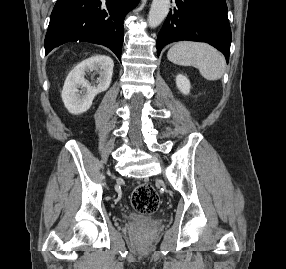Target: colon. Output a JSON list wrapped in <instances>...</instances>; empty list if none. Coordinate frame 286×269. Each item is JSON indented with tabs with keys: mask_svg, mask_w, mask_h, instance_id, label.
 <instances>
[{
	"mask_svg": "<svg viewBox=\"0 0 286 269\" xmlns=\"http://www.w3.org/2000/svg\"><path fill=\"white\" fill-rule=\"evenodd\" d=\"M131 202L133 208L141 214H152L160 206V198L154 188L147 183L139 184L134 189Z\"/></svg>",
	"mask_w": 286,
	"mask_h": 269,
	"instance_id": "obj_1",
	"label": "colon"
}]
</instances>
